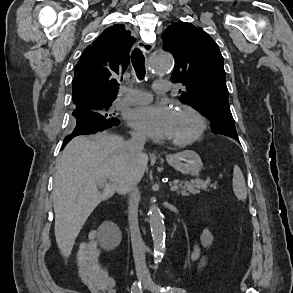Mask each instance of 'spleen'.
<instances>
[{
  "mask_svg": "<svg viewBox=\"0 0 293 293\" xmlns=\"http://www.w3.org/2000/svg\"><path fill=\"white\" fill-rule=\"evenodd\" d=\"M233 191L238 200H245L247 197V188L245 184V179L242 174L241 169L235 165L233 169Z\"/></svg>",
  "mask_w": 293,
  "mask_h": 293,
  "instance_id": "3e777b00",
  "label": "spleen"
}]
</instances>
